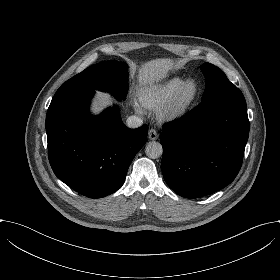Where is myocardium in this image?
<instances>
[{
	"label": "myocardium",
	"mask_w": 280,
	"mask_h": 280,
	"mask_svg": "<svg viewBox=\"0 0 280 280\" xmlns=\"http://www.w3.org/2000/svg\"><path fill=\"white\" fill-rule=\"evenodd\" d=\"M195 81L197 84V93L194 99L186 104H180V97L183 93V90L188 82ZM202 95V86L200 82L193 77H189L183 80L180 87L173 95L171 101L162 108L160 112L161 119L166 123H174L181 118H183L186 114H188L199 102Z\"/></svg>",
	"instance_id": "myocardium-1"
}]
</instances>
